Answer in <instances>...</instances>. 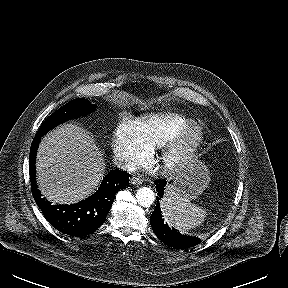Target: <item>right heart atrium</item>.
<instances>
[{"instance_id": "d8ad5b80", "label": "right heart atrium", "mask_w": 288, "mask_h": 288, "mask_svg": "<svg viewBox=\"0 0 288 288\" xmlns=\"http://www.w3.org/2000/svg\"><path fill=\"white\" fill-rule=\"evenodd\" d=\"M152 149L142 136L137 122L127 120L117 126L113 150L124 168L134 169L146 164L152 155Z\"/></svg>"}]
</instances>
